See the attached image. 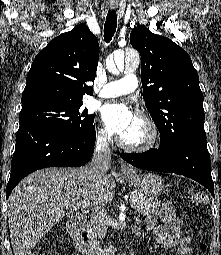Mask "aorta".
Returning <instances> with one entry per match:
<instances>
[{
	"label": "aorta",
	"instance_id": "aorta-1",
	"mask_svg": "<svg viewBox=\"0 0 221 255\" xmlns=\"http://www.w3.org/2000/svg\"><path fill=\"white\" fill-rule=\"evenodd\" d=\"M114 61L119 71H123L124 68L129 71H134L139 66V56L136 53L127 52L124 55L122 52H116L114 53Z\"/></svg>",
	"mask_w": 221,
	"mask_h": 255
}]
</instances>
